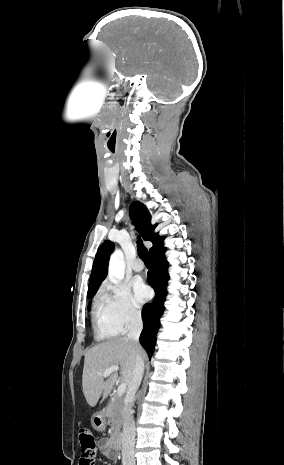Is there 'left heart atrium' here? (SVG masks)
Returning <instances> with one entry per match:
<instances>
[{"label": "left heart atrium", "instance_id": "39dd6f15", "mask_svg": "<svg viewBox=\"0 0 284 465\" xmlns=\"http://www.w3.org/2000/svg\"><path fill=\"white\" fill-rule=\"evenodd\" d=\"M150 298V290L142 282L136 281L132 285V300L137 305H142Z\"/></svg>", "mask_w": 284, "mask_h": 465}]
</instances>
